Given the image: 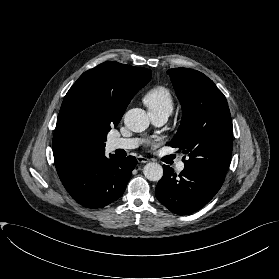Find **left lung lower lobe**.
Segmentation results:
<instances>
[{
  "mask_svg": "<svg viewBox=\"0 0 279 279\" xmlns=\"http://www.w3.org/2000/svg\"><path fill=\"white\" fill-rule=\"evenodd\" d=\"M164 174L156 186L157 199L171 212L185 215L197 211L209 202L222 184L205 174L184 169L176 175L163 165Z\"/></svg>",
  "mask_w": 279,
  "mask_h": 279,
  "instance_id": "1",
  "label": "left lung lower lobe"
}]
</instances>
